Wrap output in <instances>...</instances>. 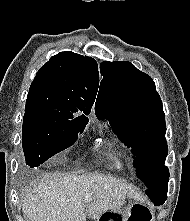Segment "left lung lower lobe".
<instances>
[{"instance_id": "1", "label": "left lung lower lobe", "mask_w": 190, "mask_h": 221, "mask_svg": "<svg viewBox=\"0 0 190 221\" xmlns=\"http://www.w3.org/2000/svg\"><path fill=\"white\" fill-rule=\"evenodd\" d=\"M168 180L154 187L150 192V199L156 206L162 205L167 199Z\"/></svg>"}]
</instances>
